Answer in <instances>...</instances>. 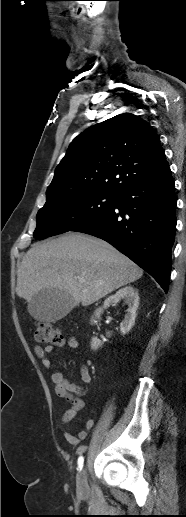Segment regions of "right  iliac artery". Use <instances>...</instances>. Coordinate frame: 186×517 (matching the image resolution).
<instances>
[{
    "label": "right iliac artery",
    "mask_w": 186,
    "mask_h": 517,
    "mask_svg": "<svg viewBox=\"0 0 186 517\" xmlns=\"http://www.w3.org/2000/svg\"><path fill=\"white\" fill-rule=\"evenodd\" d=\"M83 463H84V458H83V456H80V457L78 458V467H79L80 469H82V467H83Z\"/></svg>",
    "instance_id": "1"
}]
</instances>
